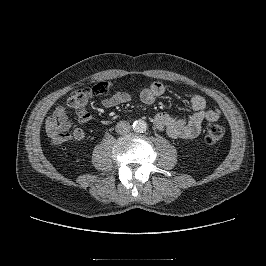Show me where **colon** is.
<instances>
[{
    "instance_id": "5ec220e1",
    "label": "colon",
    "mask_w": 266,
    "mask_h": 266,
    "mask_svg": "<svg viewBox=\"0 0 266 266\" xmlns=\"http://www.w3.org/2000/svg\"><path fill=\"white\" fill-rule=\"evenodd\" d=\"M109 89V83L100 82L91 86L84 87L72 93L73 96L96 97L103 95ZM225 130L218 123L210 122L205 127V142L208 145L218 144L224 137Z\"/></svg>"
}]
</instances>
